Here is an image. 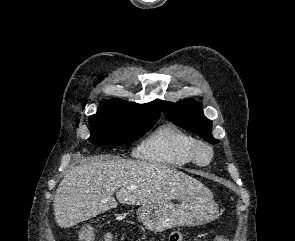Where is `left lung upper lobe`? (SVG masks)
Wrapping results in <instances>:
<instances>
[{"mask_svg": "<svg viewBox=\"0 0 295 241\" xmlns=\"http://www.w3.org/2000/svg\"><path fill=\"white\" fill-rule=\"evenodd\" d=\"M162 109L166 117L179 127L199 135L205 141L218 143L211 135L212 122L202 111V106L193 99L177 103L162 101Z\"/></svg>", "mask_w": 295, "mask_h": 241, "instance_id": "left-lung-upper-lobe-1", "label": "left lung upper lobe"}]
</instances>
